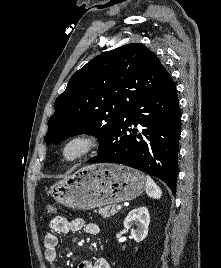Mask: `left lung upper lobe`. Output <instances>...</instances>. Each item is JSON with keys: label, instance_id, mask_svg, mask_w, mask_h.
<instances>
[{"label": "left lung upper lobe", "instance_id": "5c2ea615", "mask_svg": "<svg viewBox=\"0 0 221 268\" xmlns=\"http://www.w3.org/2000/svg\"><path fill=\"white\" fill-rule=\"evenodd\" d=\"M172 80L157 56L134 43L102 53L78 70L55 101L46 144L92 134L99 151L135 104Z\"/></svg>", "mask_w": 221, "mask_h": 268}]
</instances>
